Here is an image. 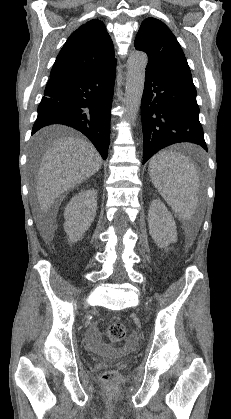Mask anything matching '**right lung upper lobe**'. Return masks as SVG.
I'll list each match as a JSON object with an SVG mask.
<instances>
[{
  "label": "right lung upper lobe",
  "instance_id": "right-lung-upper-lobe-1",
  "mask_svg": "<svg viewBox=\"0 0 231 419\" xmlns=\"http://www.w3.org/2000/svg\"><path fill=\"white\" fill-rule=\"evenodd\" d=\"M116 64L114 47L102 21L81 25L67 39L50 77L96 73Z\"/></svg>",
  "mask_w": 231,
  "mask_h": 419
}]
</instances>
